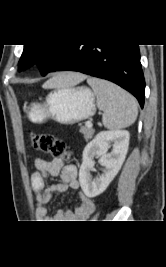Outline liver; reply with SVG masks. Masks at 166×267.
I'll return each instance as SVG.
<instances>
[{
    "label": "liver",
    "mask_w": 166,
    "mask_h": 267,
    "mask_svg": "<svg viewBox=\"0 0 166 267\" xmlns=\"http://www.w3.org/2000/svg\"><path fill=\"white\" fill-rule=\"evenodd\" d=\"M86 78L87 76L84 74L69 72L48 80L44 83L43 88L73 87L84 81Z\"/></svg>",
    "instance_id": "liver-1"
}]
</instances>
